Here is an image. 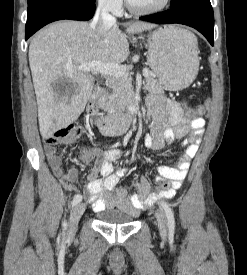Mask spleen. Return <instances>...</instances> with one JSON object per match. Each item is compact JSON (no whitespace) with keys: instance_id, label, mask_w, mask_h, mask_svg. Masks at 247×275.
<instances>
[{"instance_id":"obj_1","label":"spleen","mask_w":247,"mask_h":275,"mask_svg":"<svg viewBox=\"0 0 247 275\" xmlns=\"http://www.w3.org/2000/svg\"><path fill=\"white\" fill-rule=\"evenodd\" d=\"M189 38L192 40L194 46L197 48V39L194 37L192 33H189Z\"/></svg>"}]
</instances>
